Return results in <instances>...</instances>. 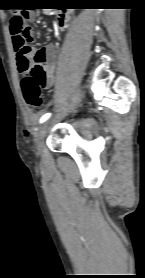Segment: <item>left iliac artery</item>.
Masks as SVG:
<instances>
[{
    "instance_id": "1",
    "label": "left iliac artery",
    "mask_w": 145,
    "mask_h": 278,
    "mask_svg": "<svg viewBox=\"0 0 145 278\" xmlns=\"http://www.w3.org/2000/svg\"><path fill=\"white\" fill-rule=\"evenodd\" d=\"M51 116V113H46V114H44L42 117H41V119H40V123H43V122H45L49 117Z\"/></svg>"
}]
</instances>
